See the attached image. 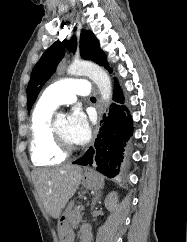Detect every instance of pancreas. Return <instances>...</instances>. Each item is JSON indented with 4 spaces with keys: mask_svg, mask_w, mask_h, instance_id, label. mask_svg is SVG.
<instances>
[{
    "mask_svg": "<svg viewBox=\"0 0 187 242\" xmlns=\"http://www.w3.org/2000/svg\"><path fill=\"white\" fill-rule=\"evenodd\" d=\"M72 215H73V219L71 220V224H72V226L76 227L82 217L81 210H79L77 208L74 209Z\"/></svg>",
    "mask_w": 187,
    "mask_h": 242,
    "instance_id": "cf45deb5",
    "label": "pancreas"
}]
</instances>
